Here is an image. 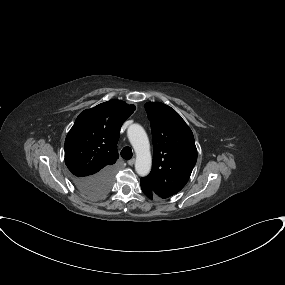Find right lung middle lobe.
Listing matches in <instances>:
<instances>
[{
	"instance_id": "1",
	"label": "right lung middle lobe",
	"mask_w": 285,
	"mask_h": 285,
	"mask_svg": "<svg viewBox=\"0 0 285 285\" xmlns=\"http://www.w3.org/2000/svg\"><path fill=\"white\" fill-rule=\"evenodd\" d=\"M103 196H105V194L95 195V196H92V197H90V198H92V199H98V198H101V197H103Z\"/></svg>"
}]
</instances>
